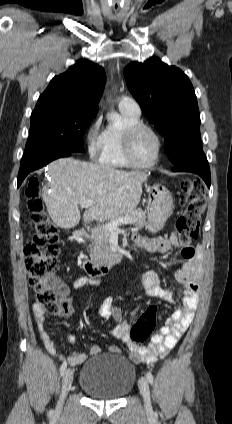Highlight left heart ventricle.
<instances>
[{"label": "left heart ventricle", "instance_id": "b2bd125f", "mask_svg": "<svg viewBox=\"0 0 232 424\" xmlns=\"http://www.w3.org/2000/svg\"><path fill=\"white\" fill-rule=\"evenodd\" d=\"M157 151V141L147 130L138 133L133 143V158L137 163L147 164L154 160Z\"/></svg>", "mask_w": 232, "mask_h": 424}]
</instances>
